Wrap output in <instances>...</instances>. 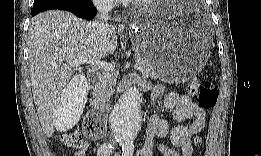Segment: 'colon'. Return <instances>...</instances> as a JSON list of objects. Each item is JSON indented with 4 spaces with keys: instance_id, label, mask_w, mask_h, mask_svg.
Masks as SVG:
<instances>
[{
    "instance_id": "obj_1",
    "label": "colon",
    "mask_w": 261,
    "mask_h": 156,
    "mask_svg": "<svg viewBox=\"0 0 261 156\" xmlns=\"http://www.w3.org/2000/svg\"><path fill=\"white\" fill-rule=\"evenodd\" d=\"M188 93L198 97V104L202 109L213 108L218 99L217 85L212 82H206L203 86H200L198 80H192L188 84ZM84 131L86 136L90 138H100L105 133V129L96 115L86 121ZM60 139L65 146L70 148L79 149L83 145L82 132L77 128L63 133ZM202 144V137L196 136L193 140V146L200 148Z\"/></svg>"
}]
</instances>
